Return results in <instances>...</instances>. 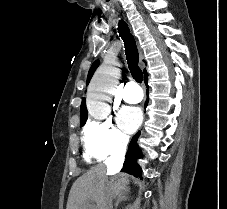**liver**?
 <instances>
[{
	"mask_svg": "<svg viewBox=\"0 0 227 209\" xmlns=\"http://www.w3.org/2000/svg\"><path fill=\"white\" fill-rule=\"evenodd\" d=\"M128 179L129 175H122V177L110 179L109 183H107L105 165L92 167L88 173H85L73 183L66 209H86L85 203L88 199L103 205L105 199L104 191L107 189L106 185H108L111 195H119V193L128 189Z\"/></svg>",
	"mask_w": 227,
	"mask_h": 209,
	"instance_id": "obj_1",
	"label": "liver"
}]
</instances>
